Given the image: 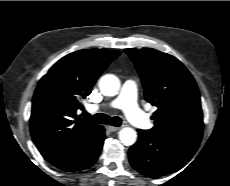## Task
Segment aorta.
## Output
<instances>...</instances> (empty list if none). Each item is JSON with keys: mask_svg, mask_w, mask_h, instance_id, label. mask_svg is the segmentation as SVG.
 I'll return each instance as SVG.
<instances>
[{"mask_svg": "<svg viewBox=\"0 0 230 186\" xmlns=\"http://www.w3.org/2000/svg\"><path fill=\"white\" fill-rule=\"evenodd\" d=\"M99 88L105 96H115L120 89L119 79L112 74H106L99 81ZM119 140L125 146L133 145L137 140V133L131 127H124L119 131Z\"/></svg>", "mask_w": 230, "mask_h": 186, "instance_id": "obj_1", "label": "aorta"}]
</instances>
